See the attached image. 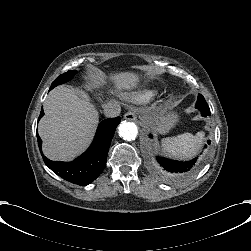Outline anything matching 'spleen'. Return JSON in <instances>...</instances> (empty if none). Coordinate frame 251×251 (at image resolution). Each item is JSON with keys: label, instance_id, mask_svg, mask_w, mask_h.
Listing matches in <instances>:
<instances>
[{"label": "spleen", "instance_id": "spleen-1", "mask_svg": "<svg viewBox=\"0 0 251 251\" xmlns=\"http://www.w3.org/2000/svg\"><path fill=\"white\" fill-rule=\"evenodd\" d=\"M206 132L198 131L194 136L186 133L175 138L160 140L162 152L169 158L188 161L195 157L204 147Z\"/></svg>", "mask_w": 251, "mask_h": 251}]
</instances>
